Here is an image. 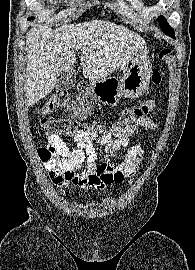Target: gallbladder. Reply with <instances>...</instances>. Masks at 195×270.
<instances>
[{
    "label": "gallbladder",
    "instance_id": "gallbladder-1",
    "mask_svg": "<svg viewBox=\"0 0 195 270\" xmlns=\"http://www.w3.org/2000/svg\"><path fill=\"white\" fill-rule=\"evenodd\" d=\"M75 80H76V71L73 67L68 70L60 71L58 73L56 89L69 90L74 86Z\"/></svg>",
    "mask_w": 195,
    "mask_h": 270
}]
</instances>
